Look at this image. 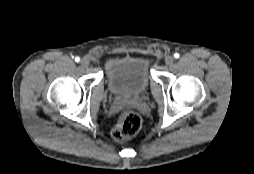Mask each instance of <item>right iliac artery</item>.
I'll list each match as a JSON object with an SVG mask.
<instances>
[{"mask_svg":"<svg viewBox=\"0 0 254 174\" xmlns=\"http://www.w3.org/2000/svg\"><path fill=\"white\" fill-rule=\"evenodd\" d=\"M75 61H76V62H79V61H80V58H79V57H76V58H75Z\"/></svg>","mask_w":254,"mask_h":174,"instance_id":"obj_1","label":"right iliac artery"}]
</instances>
